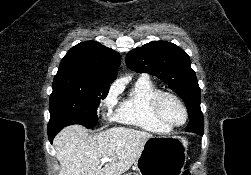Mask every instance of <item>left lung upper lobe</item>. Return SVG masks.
<instances>
[{"label":"left lung upper lobe","instance_id":"obj_1","mask_svg":"<svg viewBox=\"0 0 251 175\" xmlns=\"http://www.w3.org/2000/svg\"><path fill=\"white\" fill-rule=\"evenodd\" d=\"M127 66L136 72H147L164 81L185 102L187 109L198 111L197 120H189L186 131L203 135L204 119L200 109V87L187 53L167 41H152L130 51Z\"/></svg>","mask_w":251,"mask_h":175}]
</instances>
